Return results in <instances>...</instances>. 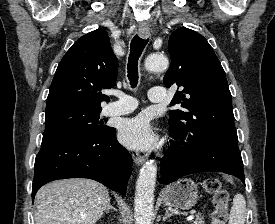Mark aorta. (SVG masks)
<instances>
[{
    "label": "aorta",
    "instance_id": "obj_1",
    "mask_svg": "<svg viewBox=\"0 0 275 224\" xmlns=\"http://www.w3.org/2000/svg\"><path fill=\"white\" fill-rule=\"evenodd\" d=\"M145 67L148 71H162L168 67V59L160 54H151L145 60ZM156 175L154 161H147L140 170L134 199L135 224L152 223Z\"/></svg>",
    "mask_w": 275,
    "mask_h": 224
}]
</instances>
